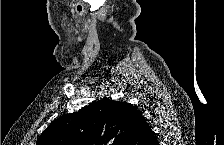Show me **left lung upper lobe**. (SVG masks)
<instances>
[{
    "label": "left lung upper lobe",
    "instance_id": "1",
    "mask_svg": "<svg viewBox=\"0 0 224 145\" xmlns=\"http://www.w3.org/2000/svg\"><path fill=\"white\" fill-rule=\"evenodd\" d=\"M141 112L108 98L53 121L36 145H129Z\"/></svg>",
    "mask_w": 224,
    "mask_h": 145
}]
</instances>
